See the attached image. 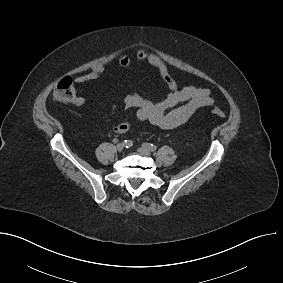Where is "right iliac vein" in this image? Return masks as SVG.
I'll use <instances>...</instances> for the list:
<instances>
[{
  "label": "right iliac vein",
  "instance_id": "obj_1",
  "mask_svg": "<svg viewBox=\"0 0 283 283\" xmlns=\"http://www.w3.org/2000/svg\"><path fill=\"white\" fill-rule=\"evenodd\" d=\"M125 148L124 144L123 143H118L117 146H116V149L118 152H121L123 151Z\"/></svg>",
  "mask_w": 283,
  "mask_h": 283
}]
</instances>
